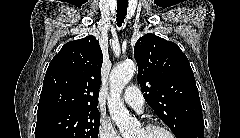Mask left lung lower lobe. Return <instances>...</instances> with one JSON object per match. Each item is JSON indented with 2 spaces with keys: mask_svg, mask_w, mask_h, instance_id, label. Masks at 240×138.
<instances>
[{
  "mask_svg": "<svg viewBox=\"0 0 240 138\" xmlns=\"http://www.w3.org/2000/svg\"><path fill=\"white\" fill-rule=\"evenodd\" d=\"M204 126L191 127L180 135L179 138H203Z\"/></svg>",
  "mask_w": 240,
  "mask_h": 138,
  "instance_id": "0a47b994",
  "label": "left lung lower lobe"
}]
</instances>
